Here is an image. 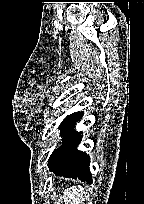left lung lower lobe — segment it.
Masks as SVG:
<instances>
[{"label": "left lung lower lobe", "mask_w": 144, "mask_h": 204, "mask_svg": "<svg viewBox=\"0 0 144 204\" xmlns=\"http://www.w3.org/2000/svg\"><path fill=\"white\" fill-rule=\"evenodd\" d=\"M82 116L83 112H78L72 117L67 128L66 137L62 145L54 150L50 156L48 166L50 171H53L58 176L79 178L91 184L90 158L85 153L77 150V146L81 141V135L74 129L75 122Z\"/></svg>", "instance_id": "obj_1"}]
</instances>
